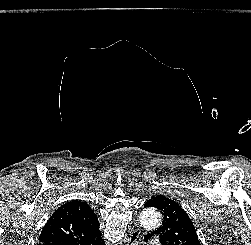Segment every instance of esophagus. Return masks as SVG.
Returning a JSON list of instances; mask_svg holds the SVG:
<instances>
[{
    "label": "esophagus",
    "mask_w": 251,
    "mask_h": 245,
    "mask_svg": "<svg viewBox=\"0 0 251 245\" xmlns=\"http://www.w3.org/2000/svg\"><path fill=\"white\" fill-rule=\"evenodd\" d=\"M140 234L141 229L139 227L132 228L126 245H141Z\"/></svg>",
    "instance_id": "obj_1"
}]
</instances>
